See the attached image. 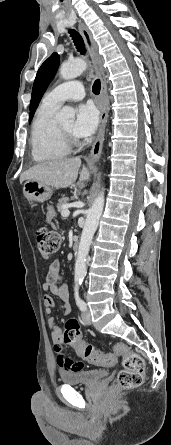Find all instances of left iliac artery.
Here are the masks:
<instances>
[{
  "label": "left iliac artery",
  "mask_w": 171,
  "mask_h": 445,
  "mask_svg": "<svg viewBox=\"0 0 171 445\" xmlns=\"http://www.w3.org/2000/svg\"><path fill=\"white\" fill-rule=\"evenodd\" d=\"M74 295H75L76 304L79 307V309L81 311H85L86 310V303L79 296V286H75L74 287Z\"/></svg>",
  "instance_id": "obj_1"
}]
</instances>
